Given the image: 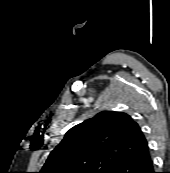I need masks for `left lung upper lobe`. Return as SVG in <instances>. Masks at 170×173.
Listing matches in <instances>:
<instances>
[{
    "label": "left lung upper lobe",
    "instance_id": "5c2ea615",
    "mask_svg": "<svg viewBox=\"0 0 170 173\" xmlns=\"http://www.w3.org/2000/svg\"><path fill=\"white\" fill-rule=\"evenodd\" d=\"M147 148L145 136L129 115L102 111L71 128L39 173H114Z\"/></svg>",
    "mask_w": 170,
    "mask_h": 173
}]
</instances>
